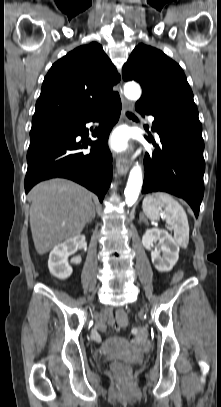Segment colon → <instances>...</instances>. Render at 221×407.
Here are the masks:
<instances>
[{
	"instance_id": "obj_1",
	"label": "colon",
	"mask_w": 221,
	"mask_h": 407,
	"mask_svg": "<svg viewBox=\"0 0 221 407\" xmlns=\"http://www.w3.org/2000/svg\"><path fill=\"white\" fill-rule=\"evenodd\" d=\"M182 276L183 273L181 271H178L176 273V276L172 278V281L174 283H177L179 281V278H181ZM127 315L128 312L126 309H119L118 312L115 314L114 319L117 325V330L130 329L132 327V322L130 320H127ZM146 337V332L143 330H135L131 334V339L136 344H142L146 340ZM112 371L119 383L127 382L131 373L130 367L123 362H114L112 364Z\"/></svg>"
}]
</instances>
